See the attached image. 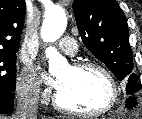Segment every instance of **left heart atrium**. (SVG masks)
Listing matches in <instances>:
<instances>
[{
    "instance_id": "39dd6f15",
    "label": "left heart atrium",
    "mask_w": 142,
    "mask_h": 119,
    "mask_svg": "<svg viewBox=\"0 0 142 119\" xmlns=\"http://www.w3.org/2000/svg\"><path fill=\"white\" fill-rule=\"evenodd\" d=\"M52 83H53V85H54L56 88H59L60 82H59L58 79H57L56 81H53Z\"/></svg>"
}]
</instances>
